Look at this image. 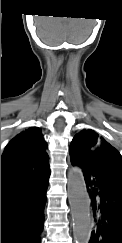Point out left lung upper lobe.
Instances as JSON below:
<instances>
[{
    "mask_svg": "<svg viewBox=\"0 0 122 243\" xmlns=\"http://www.w3.org/2000/svg\"><path fill=\"white\" fill-rule=\"evenodd\" d=\"M103 150L118 152L95 131L84 129L74 136L70 145V159L72 164H77L83 157L97 156Z\"/></svg>",
    "mask_w": 122,
    "mask_h": 243,
    "instance_id": "left-lung-upper-lobe-1",
    "label": "left lung upper lobe"
}]
</instances>
